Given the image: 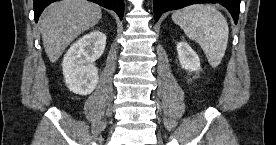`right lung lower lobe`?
Listing matches in <instances>:
<instances>
[{
	"mask_svg": "<svg viewBox=\"0 0 276 145\" xmlns=\"http://www.w3.org/2000/svg\"><path fill=\"white\" fill-rule=\"evenodd\" d=\"M57 0H33L34 2V17L37 22L43 9L50 3ZM95 2L107 9L115 11L122 20L124 13V0H89Z\"/></svg>",
	"mask_w": 276,
	"mask_h": 145,
	"instance_id": "1",
	"label": "right lung lower lobe"
}]
</instances>
